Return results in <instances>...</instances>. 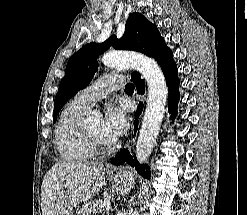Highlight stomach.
Instances as JSON below:
<instances>
[{
    "label": "stomach",
    "mask_w": 247,
    "mask_h": 215,
    "mask_svg": "<svg viewBox=\"0 0 247 215\" xmlns=\"http://www.w3.org/2000/svg\"><path fill=\"white\" fill-rule=\"evenodd\" d=\"M112 179L115 182V188L120 193H125L129 190L130 186L133 183V175L131 173H124L120 176H114ZM61 215H72L71 208H66Z\"/></svg>",
    "instance_id": "obj_1"
}]
</instances>
